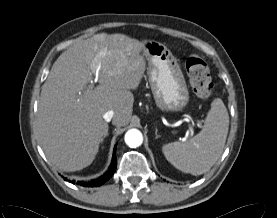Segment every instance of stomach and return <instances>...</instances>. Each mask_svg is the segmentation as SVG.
Segmentation results:
<instances>
[{
  "label": "stomach",
  "mask_w": 277,
  "mask_h": 218,
  "mask_svg": "<svg viewBox=\"0 0 277 218\" xmlns=\"http://www.w3.org/2000/svg\"><path fill=\"white\" fill-rule=\"evenodd\" d=\"M142 55L148 61V80L157 107L165 112L183 111L189 91L176 58L156 41H146Z\"/></svg>",
  "instance_id": "1"
}]
</instances>
